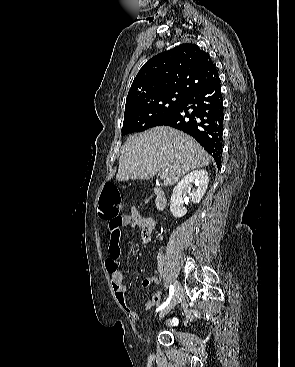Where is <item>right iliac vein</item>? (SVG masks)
<instances>
[{
  "instance_id": "right-iliac-vein-1",
  "label": "right iliac vein",
  "mask_w": 295,
  "mask_h": 367,
  "mask_svg": "<svg viewBox=\"0 0 295 367\" xmlns=\"http://www.w3.org/2000/svg\"><path fill=\"white\" fill-rule=\"evenodd\" d=\"M180 296H181V287L180 284L176 281L173 298L171 299L169 304L161 311L160 318L165 317L176 306Z\"/></svg>"
}]
</instances>
